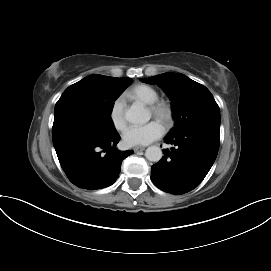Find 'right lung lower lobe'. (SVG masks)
I'll use <instances>...</instances> for the list:
<instances>
[{
	"label": "right lung lower lobe",
	"mask_w": 271,
	"mask_h": 271,
	"mask_svg": "<svg viewBox=\"0 0 271 271\" xmlns=\"http://www.w3.org/2000/svg\"><path fill=\"white\" fill-rule=\"evenodd\" d=\"M118 132H94L66 138L54 145L62 169L76 186L95 190L112 185L122 161L133 151H118Z\"/></svg>",
	"instance_id": "1"
}]
</instances>
